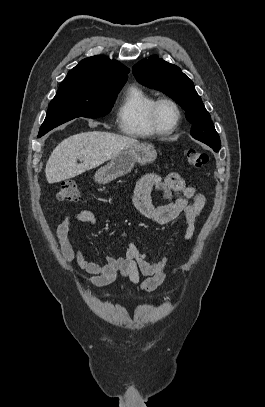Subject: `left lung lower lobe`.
<instances>
[{"label":"left lung lower lobe","instance_id":"0a47b994","mask_svg":"<svg viewBox=\"0 0 265 407\" xmlns=\"http://www.w3.org/2000/svg\"><path fill=\"white\" fill-rule=\"evenodd\" d=\"M211 147V146H210ZM215 152H217L219 149L211 147Z\"/></svg>","mask_w":265,"mask_h":407}]
</instances>
